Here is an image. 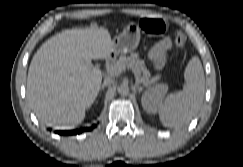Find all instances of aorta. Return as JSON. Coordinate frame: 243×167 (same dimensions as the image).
I'll list each match as a JSON object with an SVG mask.
<instances>
[{
    "instance_id": "aorta-1",
    "label": "aorta",
    "mask_w": 243,
    "mask_h": 167,
    "mask_svg": "<svg viewBox=\"0 0 243 167\" xmlns=\"http://www.w3.org/2000/svg\"><path fill=\"white\" fill-rule=\"evenodd\" d=\"M118 93L120 95H127L129 93V87L127 84H121L119 87H118Z\"/></svg>"
}]
</instances>
